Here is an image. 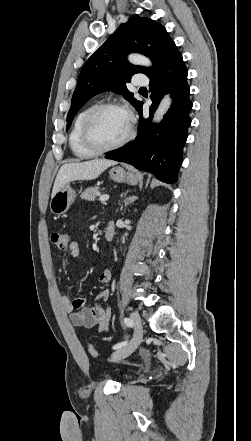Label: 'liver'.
I'll use <instances>...</instances> for the list:
<instances>
[{"mask_svg":"<svg viewBox=\"0 0 251 441\" xmlns=\"http://www.w3.org/2000/svg\"><path fill=\"white\" fill-rule=\"evenodd\" d=\"M116 161L94 159L84 162L66 163L61 166L56 176L52 196L67 184L77 180H92L97 178L105 169L116 165Z\"/></svg>","mask_w":251,"mask_h":441,"instance_id":"1","label":"liver"}]
</instances>
